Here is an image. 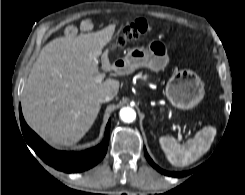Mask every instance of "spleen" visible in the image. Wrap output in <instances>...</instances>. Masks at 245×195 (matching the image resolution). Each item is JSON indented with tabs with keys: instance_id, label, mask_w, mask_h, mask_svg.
Returning a JSON list of instances; mask_svg holds the SVG:
<instances>
[{
	"instance_id": "1",
	"label": "spleen",
	"mask_w": 245,
	"mask_h": 195,
	"mask_svg": "<svg viewBox=\"0 0 245 195\" xmlns=\"http://www.w3.org/2000/svg\"><path fill=\"white\" fill-rule=\"evenodd\" d=\"M215 134L214 127H205L184 145H179L173 137L165 136L161 137L159 142L172 165L187 166L208 151Z\"/></svg>"
}]
</instances>
